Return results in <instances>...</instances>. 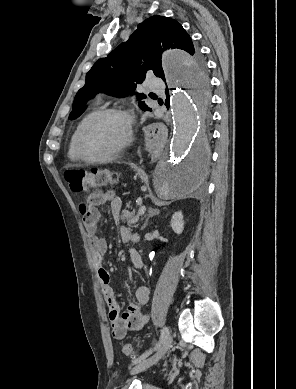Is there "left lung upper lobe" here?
<instances>
[{
	"label": "left lung upper lobe",
	"instance_id": "left-lung-upper-lobe-1",
	"mask_svg": "<svg viewBox=\"0 0 296 389\" xmlns=\"http://www.w3.org/2000/svg\"><path fill=\"white\" fill-rule=\"evenodd\" d=\"M169 48H179L191 55L190 79L195 86L205 89L208 85L205 62L191 37L176 20L155 15L140 23L126 42L93 65L86 74L85 85L75 96L69 119L81 115L86 102L99 92L115 97L127 96L135 90L136 84L142 83L148 71L166 81L161 54ZM144 98L146 95H138V100ZM139 107L150 110L142 101Z\"/></svg>",
	"mask_w": 296,
	"mask_h": 389
}]
</instances>
